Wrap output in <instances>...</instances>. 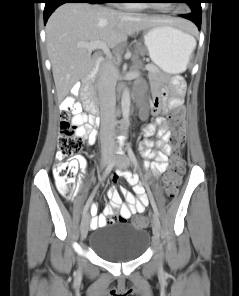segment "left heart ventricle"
<instances>
[{
	"label": "left heart ventricle",
	"mask_w": 239,
	"mask_h": 296,
	"mask_svg": "<svg viewBox=\"0 0 239 296\" xmlns=\"http://www.w3.org/2000/svg\"><path fill=\"white\" fill-rule=\"evenodd\" d=\"M155 4L167 5V4H169V3L161 2V3H155Z\"/></svg>",
	"instance_id": "b2bd125f"
}]
</instances>
